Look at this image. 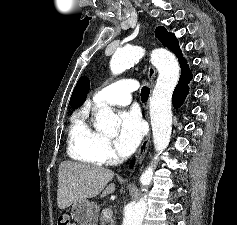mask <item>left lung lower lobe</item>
<instances>
[{
	"label": "left lung lower lobe",
	"instance_id": "left-lung-lower-lobe-1",
	"mask_svg": "<svg viewBox=\"0 0 237 225\" xmlns=\"http://www.w3.org/2000/svg\"><path fill=\"white\" fill-rule=\"evenodd\" d=\"M191 79H192L191 72L189 71L182 72L181 77L173 92V97H172L173 106L175 108L180 107L182 103L184 102L185 97L189 90L188 83L190 82Z\"/></svg>",
	"mask_w": 237,
	"mask_h": 225
}]
</instances>
